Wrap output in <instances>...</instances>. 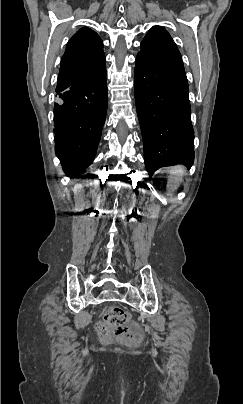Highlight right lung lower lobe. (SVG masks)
<instances>
[{"label":"right lung lower lobe","instance_id":"98d812e1","mask_svg":"<svg viewBox=\"0 0 243 404\" xmlns=\"http://www.w3.org/2000/svg\"><path fill=\"white\" fill-rule=\"evenodd\" d=\"M55 153L66 175L81 178L92 163L107 113L106 67L56 91Z\"/></svg>","mask_w":243,"mask_h":404}]
</instances>
